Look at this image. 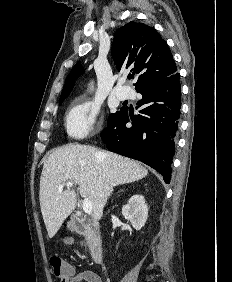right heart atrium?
Wrapping results in <instances>:
<instances>
[{"label":"right heart atrium","mask_w":232,"mask_h":282,"mask_svg":"<svg viewBox=\"0 0 232 282\" xmlns=\"http://www.w3.org/2000/svg\"><path fill=\"white\" fill-rule=\"evenodd\" d=\"M98 115L99 110L92 102L84 98L75 100L65 117L68 136L74 140L90 136L94 132Z\"/></svg>","instance_id":"d8ad5b80"}]
</instances>
